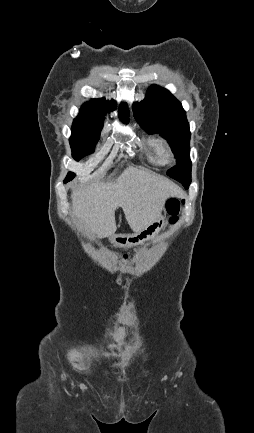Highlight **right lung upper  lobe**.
I'll return each instance as SVG.
<instances>
[{"mask_svg": "<svg viewBox=\"0 0 254 433\" xmlns=\"http://www.w3.org/2000/svg\"><path fill=\"white\" fill-rule=\"evenodd\" d=\"M116 106V103L114 100L112 101H106L104 98L101 99H94L89 103H85L82 106L81 110H91V111H98L102 113H106L107 111H111ZM120 118L124 121L128 120L129 111L127 108V104L122 103L119 108Z\"/></svg>", "mask_w": 254, "mask_h": 433, "instance_id": "cb5924a9", "label": "right lung upper lobe"}]
</instances>
